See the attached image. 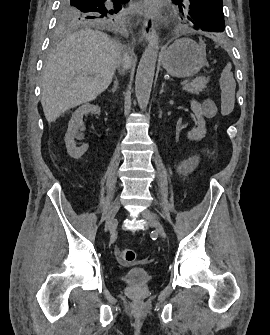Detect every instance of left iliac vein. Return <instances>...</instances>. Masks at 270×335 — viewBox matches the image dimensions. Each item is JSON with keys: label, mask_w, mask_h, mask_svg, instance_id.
I'll return each mask as SVG.
<instances>
[{"label": "left iliac vein", "mask_w": 270, "mask_h": 335, "mask_svg": "<svg viewBox=\"0 0 270 335\" xmlns=\"http://www.w3.org/2000/svg\"><path fill=\"white\" fill-rule=\"evenodd\" d=\"M141 216L146 219L151 225H153L157 233L162 237L166 238V232L163 225L154 217L150 210H144L141 213Z\"/></svg>", "instance_id": "4c4485c4"}]
</instances>
